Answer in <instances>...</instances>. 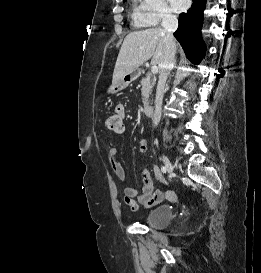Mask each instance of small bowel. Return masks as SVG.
Wrapping results in <instances>:
<instances>
[{
	"mask_svg": "<svg viewBox=\"0 0 261 273\" xmlns=\"http://www.w3.org/2000/svg\"><path fill=\"white\" fill-rule=\"evenodd\" d=\"M114 115H119L122 119V129L117 132L124 131L123 119L126 116V109L123 104H118L115 107ZM148 148V142L145 138H141L139 141L138 151L140 154H145ZM109 164L114 173V175L120 180L125 181V172L124 169L117 159L118 149L112 147L109 149ZM155 177L161 179V174L158 170H155ZM143 186L142 190L139 193L135 188L125 187L123 191V199L125 204L133 212H136L139 209V206L142 205L144 208H151L159 204L165 197V193L160 190H155L151 175L148 169H144L142 172ZM168 194V192H167Z\"/></svg>",
	"mask_w": 261,
	"mask_h": 273,
	"instance_id": "c3829d8e",
	"label": "small bowel"
}]
</instances>
